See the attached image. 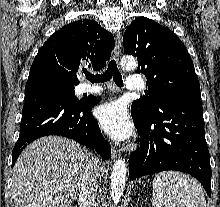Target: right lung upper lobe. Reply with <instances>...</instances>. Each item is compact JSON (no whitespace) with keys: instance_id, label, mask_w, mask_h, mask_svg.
<instances>
[{"instance_id":"right-lung-upper-lobe-1","label":"right lung upper lobe","mask_w":220,"mask_h":207,"mask_svg":"<svg viewBox=\"0 0 220 207\" xmlns=\"http://www.w3.org/2000/svg\"><path fill=\"white\" fill-rule=\"evenodd\" d=\"M113 49V35L96 21H74L52 34L43 44L32 63L28 81L57 79L77 85L79 66L86 61L89 68L100 70Z\"/></svg>"}]
</instances>
